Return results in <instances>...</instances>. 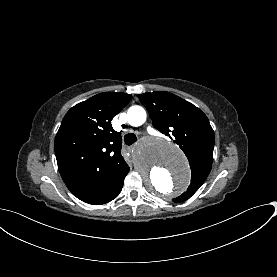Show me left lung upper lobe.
I'll use <instances>...</instances> for the list:
<instances>
[{"instance_id":"1","label":"left lung upper lobe","mask_w":277,"mask_h":277,"mask_svg":"<svg viewBox=\"0 0 277 277\" xmlns=\"http://www.w3.org/2000/svg\"><path fill=\"white\" fill-rule=\"evenodd\" d=\"M153 125L179 145L188 158L192 177L187 191L173 199H189L203 184L213 162L214 131L206 115L190 102L166 91L138 95ZM173 135L174 138L171 137Z\"/></svg>"}]
</instances>
